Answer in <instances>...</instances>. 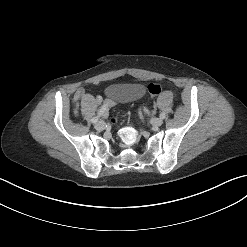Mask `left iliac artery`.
Returning a JSON list of instances; mask_svg holds the SVG:
<instances>
[{
  "label": "left iliac artery",
  "instance_id": "44dca946",
  "mask_svg": "<svg viewBox=\"0 0 247 247\" xmlns=\"http://www.w3.org/2000/svg\"><path fill=\"white\" fill-rule=\"evenodd\" d=\"M165 116H166L165 113H161V114H160V118H162V119H164Z\"/></svg>",
  "mask_w": 247,
  "mask_h": 247
}]
</instances>
